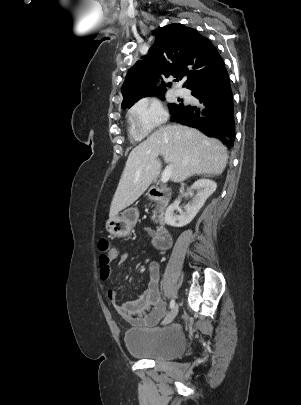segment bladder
Returning a JSON list of instances; mask_svg holds the SVG:
<instances>
[{
	"label": "bladder",
	"instance_id": "1",
	"mask_svg": "<svg viewBox=\"0 0 301 405\" xmlns=\"http://www.w3.org/2000/svg\"><path fill=\"white\" fill-rule=\"evenodd\" d=\"M124 343L132 356L167 361L185 351L186 337L177 326L131 328L125 332Z\"/></svg>",
	"mask_w": 301,
	"mask_h": 405
}]
</instances>
